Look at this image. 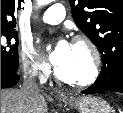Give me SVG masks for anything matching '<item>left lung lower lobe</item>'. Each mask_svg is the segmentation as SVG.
Listing matches in <instances>:
<instances>
[{"instance_id": "left-lung-lower-lobe-1", "label": "left lung lower lobe", "mask_w": 123, "mask_h": 113, "mask_svg": "<svg viewBox=\"0 0 123 113\" xmlns=\"http://www.w3.org/2000/svg\"><path fill=\"white\" fill-rule=\"evenodd\" d=\"M104 91L123 93V70H120L117 77L109 83L102 82L97 78L96 82L86 90L82 91V93L95 94Z\"/></svg>"}]
</instances>
